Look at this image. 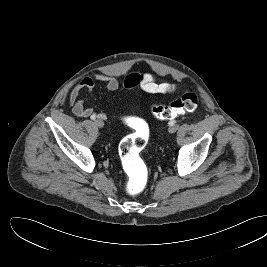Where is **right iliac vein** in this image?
<instances>
[{"instance_id": "obj_1", "label": "right iliac vein", "mask_w": 267, "mask_h": 267, "mask_svg": "<svg viewBox=\"0 0 267 267\" xmlns=\"http://www.w3.org/2000/svg\"><path fill=\"white\" fill-rule=\"evenodd\" d=\"M95 125H96L97 127H99V128H102V127L104 126V122H103V120H101V119H96V120H95Z\"/></svg>"}]
</instances>
